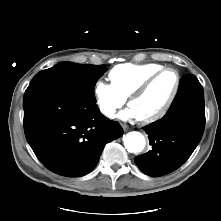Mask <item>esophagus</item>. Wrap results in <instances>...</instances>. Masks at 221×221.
I'll return each mask as SVG.
<instances>
[{
    "label": "esophagus",
    "mask_w": 221,
    "mask_h": 221,
    "mask_svg": "<svg viewBox=\"0 0 221 221\" xmlns=\"http://www.w3.org/2000/svg\"><path fill=\"white\" fill-rule=\"evenodd\" d=\"M122 128H123L124 131H128V125L122 124Z\"/></svg>",
    "instance_id": "esophagus-1"
}]
</instances>
